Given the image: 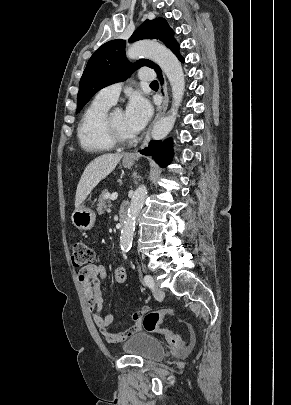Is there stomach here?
Segmentation results:
<instances>
[{"mask_svg":"<svg viewBox=\"0 0 291 405\" xmlns=\"http://www.w3.org/2000/svg\"><path fill=\"white\" fill-rule=\"evenodd\" d=\"M125 168H131L134 165V159H124L122 162ZM74 226L80 230H90L95 223V212L84 204L75 209L71 216Z\"/></svg>","mask_w":291,"mask_h":405,"instance_id":"1","label":"stomach"}]
</instances>
